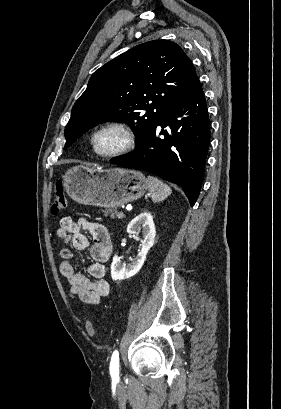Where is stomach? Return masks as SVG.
<instances>
[{
    "mask_svg": "<svg viewBox=\"0 0 281 409\" xmlns=\"http://www.w3.org/2000/svg\"><path fill=\"white\" fill-rule=\"evenodd\" d=\"M62 184L70 198L80 205L104 209H116L125 202H133L148 188V180L139 170L102 166L89 168L84 164L68 168Z\"/></svg>",
    "mask_w": 281,
    "mask_h": 409,
    "instance_id": "1",
    "label": "stomach"
}]
</instances>
